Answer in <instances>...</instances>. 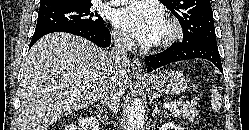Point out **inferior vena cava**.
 I'll return each mask as SVG.
<instances>
[{
	"label": "inferior vena cava",
	"mask_w": 249,
	"mask_h": 130,
	"mask_svg": "<svg viewBox=\"0 0 249 130\" xmlns=\"http://www.w3.org/2000/svg\"><path fill=\"white\" fill-rule=\"evenodd\" d=\"M114 46L109 53L110 63L112 66V78L108 86L104 88L101 95L102 102L107 105L110 111L114 114L118 112L120 93L117 88V80L123 73L126 64L128 52L135 47V42L126 35L114 34Z\"/></svg>",
	"instance_id": "obj_1"
}]
</instances>
